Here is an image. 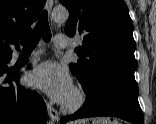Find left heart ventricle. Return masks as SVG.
<instances>
[{"instance_id": "1", "label": "left heart ventricle", "mask_w": 156, "mask_h": 124, "mask_svg": "<svg viewBox=\"0 0 156 124\" xmlns=\"http://www.w3.org/2000/svg\"><path fill=\"white\" fill-rule=\"evenodd\" d=\"M73 100H74V92L72 91L65 102H72Z\"/></svg>"}]
</instances>
